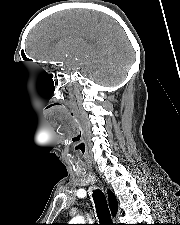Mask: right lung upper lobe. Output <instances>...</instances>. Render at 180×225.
Here are the masks:
<instances>
[{"mask_svg":"<svg viewBox=\"0 0 180 225\" xmlns=\"http://www.w3.org/2000/svg\"><path fill=\"white\" fill-rule=\"evenodd\" d=\"M108 200H109L111 213L113 216H115L118 210L117 199L110 190L108 191ZM54 225H62V224H54Z\"/></svg>","mask_w":180,"mask_h":225,"instance_id":"cb5924a9","label":"right lung upper lobe"}]
</instances>
